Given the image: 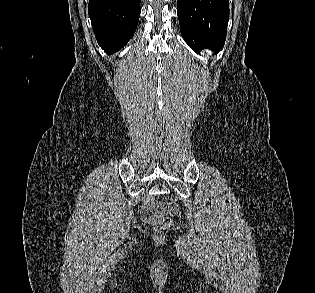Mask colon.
I'll return each instance as SVG.
<instances>
[{"label":"colon","mask_w":315,"mask_h":293,"mask_svg":"<svg viewBox=\"0 0 315 293\" xmlns=\"http://www.w3.org/2000/svg\"><path fill=\"white\" fill-rule=\"evenodd\" d=\"M151 207H153V202L148 201L146 203V208L149 209ZM159 208L164 212H173L175 210V207L169 204H160ZM153 224L157 230H166L171 227L172 221L168 216L161 214L154 220Z\"/></svg>","instance_id":"colon-1"}]
</instances>
